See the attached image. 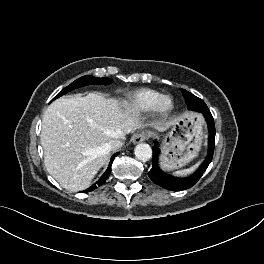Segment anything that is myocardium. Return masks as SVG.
<instances>
[{
	"mask_svg": "<svg viewBox=\"0 0 264 264\" xmlns=\"http://www.w3.org/2000/svg\"><path fill=\"white\" fill-rule=\"evenodd\" d=\"M174 108V102L171 96L163 95L153 108V112L158 117L167 116Z\"/></svg>",
	"mask_w": 264,
	"mask_h": 264,
	"instance_id": "obj_1",
	"label": "myocardium"
}]
</instances>
